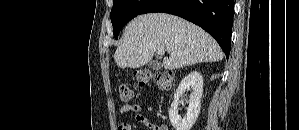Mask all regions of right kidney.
Instances as JSON below:
<instances>
[{"instance_id":"1","label":"right kidney","mask_w":299,"mask_h":130,"mask_svg":"<svg viewBox=\"0 0 299 130\" xmlns=\"http://www.w3.org/2000/svg\"><path fill=\"white\" fill-rule=\"evenodd\" d=\"M190 88L192 89V93L189 96V107L187 114L184 117H181L178 114L179 99L182 94ZM202 94V75L197 71L190 72L180 82L174 94V101L169 110V119L175 130H190L192 128L200 112Z\"/></svg>"}]
</instances>
